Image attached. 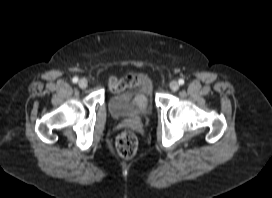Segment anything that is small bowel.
Listing matches in <instances>:
<instances>
[{"instance_id": "obj_1", "label": "small bowel", "mask_w": 272, "mask_h": 198, "mask_svg": "<svg viewBox=\"0 0 272 198\" xmlns=\"http://www.w3.org/2000/svg\"><path fill=\"white\" fill-rule=\"evenodd\" d=\"M146 86L147 81L144 77L130 73L124 79H112L110 81V88L114 91H121L127 87L137 88L140 86Z\"/></svg>"}]
</instances>
